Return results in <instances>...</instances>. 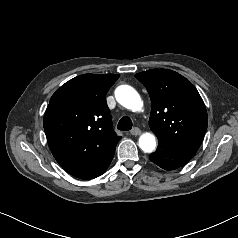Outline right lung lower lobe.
Returning <instances> with one entry per match:
<instances>
[{
  "label": "right lung lower lobe",
  "mask_w": 238,
  "mask_h": 238,
  "mask_svg": "<svg viewBox=\"0 0 238 238\" xmlns=\"http://www.w3.org/2000/svg\"><path fill=\"white\" fill-rule=\"evenodd\" d=\"M111 162V161H110ZM110 162L107 163V167L109 166Z\"/></svg>",
  "instance_id": "right-lung-lower-lobe-1"
}]
</instances>
